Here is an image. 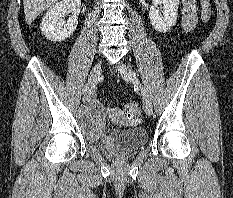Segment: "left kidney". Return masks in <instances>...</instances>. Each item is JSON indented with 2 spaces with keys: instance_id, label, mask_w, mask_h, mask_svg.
Here are the masks:
<instances>
[{
  "instance_id": "5707ae66",
  "label": "left kidney",
  "mask_w": 233,
  "mask_h": 198,
  "mask_svg": "<svg viewBox=\"0 0 233 198\" xmlns=\"http://www.w3.org/2000/svg\"><path fill=\"white\" fill-rule=\"evenodd\" d=\"M179 0H152L149 18L158 32L169 31L176 23Z\"/></svg>"
}]
</instances>
